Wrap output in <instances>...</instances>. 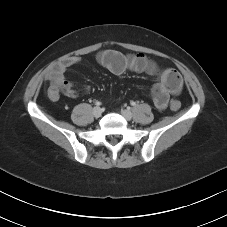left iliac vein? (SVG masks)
Segmentation results:
<instances>
[{
    "label": "left iliac vein",
    "instance_id": "obj_1",
    "mask_svg": "<svg viewBox=\"0 0 227 227\" xmlns=\"http://www.w3.org/2000/svg\"><path fill=\"white\" fill-rule=\"evenodd\" d=\"M121 114L128 121L131 120L133 117L132 112L128 109L121 110Z\"/></svg>",
    "mask_w": 227,
    "mask_h": 227
}]
</instances>
